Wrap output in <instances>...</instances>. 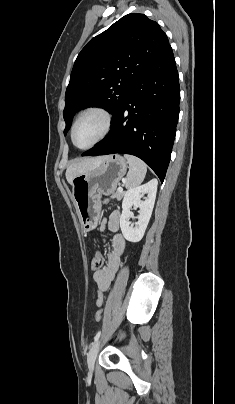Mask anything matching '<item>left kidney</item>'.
<instances>
[{
  "label": "left kidney",
  "instance_id": "1",
  "mask_svg": "<svg viewBox=\"0 0 235 404\" xmlns=\"http://www.w3.org/2000/svg\"><path fill=\"white\" fill-rule=\"evenodd\" d=\"M158 181L152 179L148 183L129 189L122 202V214L120 217V228L124 238L129 242H139L146 231L149 223L157 192ZM147 194L145 200L142 201L141 197ZM134 205L139 208V215L137 216L138 222L135 227L130 225L129 218L132 216L130 208Z\"/></svg>",
  "mask_w": 235,
  "mask_h": 404
}]
</instances>
